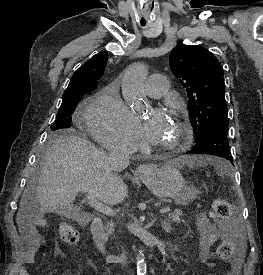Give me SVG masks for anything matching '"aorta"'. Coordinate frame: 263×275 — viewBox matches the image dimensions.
<instances>
[{"label":"aorta","instance_id":"obj_1","mask_svg":"<svg viewBox=\"0 0 263 275\" xmlns=\"http://www.w3.org/2000/svg\"><path fill=\"white\" fill-rule=\"evenodd\" d=\"M147 76V68L142 63H135L129 66L122 79V94L127 102L134 103L144 95V83ZM137 274L145 275L147 264L143 250L136 255Z\"/></svg>","mask_w":263,"mask_h":275}]
</instances>
